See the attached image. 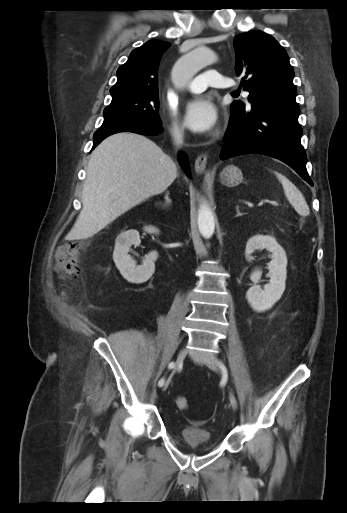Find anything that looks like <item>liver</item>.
Returning a JSON list of instances; mask_svg holds the SVG:
<instances>
[{
  "label": "liver",
  "mask_w": 347,
  "mask_h": 513,
  "mask_svg": "<svg viewBox=\"0 0 347 513\" xmlns=\"http://www.w3.org/2000/svg\"><path fill=\"white\" fill-rule=\"evenodd\" d=\"M176 176L174 162L149 138L131 132L108 136L90 156L82 210L68 236L92 237L134 206L162 193Z\"/></svg>",
  "instance_id": "6515ba94"
}]
</instances>
